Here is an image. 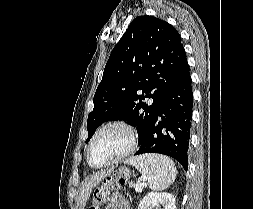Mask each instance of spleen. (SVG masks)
I'll list each match as a JSON object with an SVG mask.
<instances>
[{"label":"spleen","mask_w":253,"mask_h":209,"mask_svg":"<svg viewBox=\"0 0 253 209\" xmlns=\"http://www.w3.org/2000/svg\"><path fill=\"white\" fill-rule=\"evenodd\" d=\"M126 164L134 166L147 180L151 190H164L168 188L177 175L174 162L160 154H143L132 157Z\"/></svg>","instance_id":"spleen-1"}]
</instances>
